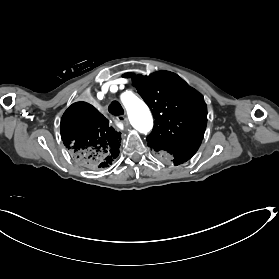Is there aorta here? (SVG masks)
Returning <instances> with one entry per match:
<instances>
[{"mask_svg": "<svg viewBox=\"0 0 279 279\" xmlns=\"http://www.w3.org/2000/svg\"><path fill=\"white\" fill-rule=\"evenodd\" d=\"M121 101L125 106L131 125L140 133H147L153 127V119L148 106L130 92L122 94Z\"/></svg>", "mask_w": 279, "mask_h": 279, "instance_id": "762f6f07", "label": "aorta"}]
</instances>
